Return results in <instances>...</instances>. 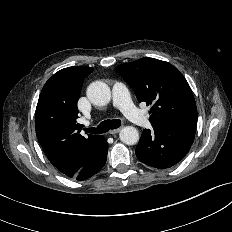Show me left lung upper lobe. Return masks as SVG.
<instances>
[{
    "instance_id": "5c2ea615",
    "label": "left lung upper lobe",
    "mask_w": 232,
    "mask_h": 232,
    "mask_svg": "<svg viewBox=\"0 0 232 232\" xmlns=\"http://www.w3.org/2000/svg\"><path fill=\"white\" fill-rule=\"evenodd\" d=\"M139 102L152 104L149 120L155 127L196 129L197 107L182 73L166 61L141 58L116 67Z\"/></svg>"
}]
</instances>
